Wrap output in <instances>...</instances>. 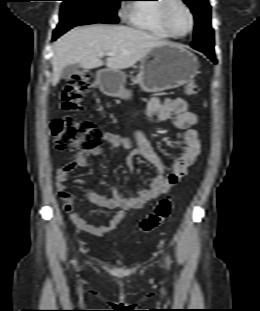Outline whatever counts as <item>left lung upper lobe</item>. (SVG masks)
<instances>
[{
  "instance_id": "obj_1",
  "label": "left lung upper lobe",
  "mask_w": 260,
  "mask_h": 311,
  "mask_svg": "<svg viewBox=\"0 0 260 311\" xmlns=\"http://www.w3.org/2000/svg\"><path fill=\"white\" fill-rule=\"evenodd\" d=\"M195 17L193 48L214 49V32L211 27V6L208 0H183Z\"/></svg>"
}]
</instances>
